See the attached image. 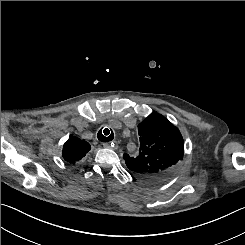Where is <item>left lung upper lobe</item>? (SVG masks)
<instances>
[{"instance_id":"obj_1","label":"left lung upper lobe","mask_w":245,"mask_h":245,"mask_svg":"<svg viewBox=\"0 0 245 245\" xmlns=\"http://www.w3.org/2000/svg\"><path fill=\"white\" fill-rule=\"evenodd\" d=\"M138 132L139 155H123L128 169L145 181L163 180L183 159L184 141L179 129L161 114L152 113L138 125Z\"/></svg>"}]
</instances>
